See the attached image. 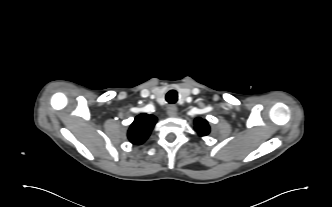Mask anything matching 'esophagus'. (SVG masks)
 <instances>
[{
    "mask_svg": "<svg viewBox=\"0 0 332 207\" xmlns=\"http://www.w3.org/2000/svg\"><path fill=\"white\" fill-rule=\"evenodd\" d=\"M167 114L170 117H175L177 115V107L175 105H170L167 108Z\"/></svg>",
    "mask_w": 332,
    "mask_h": 207,
    "instance_id": "1",
    "label": "esophagus"
}]
</instances>
